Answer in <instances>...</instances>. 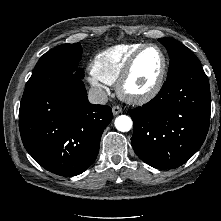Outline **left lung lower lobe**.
<instances>
[{"mask_svg":"<svg viewBox=\"0 0 221 221\" xmlns=\"http://www.w3.org/2000/svg\"><path fill=\"white\" fill-rule=\"evenodd\" d=\"M137 156L157 169L176 168L202 146L211 113L209 81L202 67L167 79L157 96L129 110Z\"/></svg>","mask_w":221,"mask_h":221,"instance_id":"obj_1","label":"left lung lower lobe"}]
</instances>
